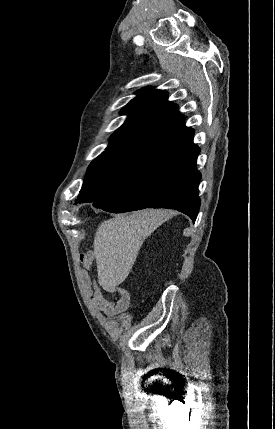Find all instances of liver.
<instances>
[{
    "mask_svg": "<svg viewBox=\"0 0 275 429\" xmlns=\"http://www.w3.org/2000/svg\"><path fill=\"white\" fill-rule=\"evenodd\" d=\"M171 216L167 210L146 209L104 221L94 237L99 284L107 291L129 275L144 240Z\"/></svg>",
    "mask_w": 275,
    "mask_h": 429,
    "instance_id": "1",
    "label": "liver"
}]
</instances>
